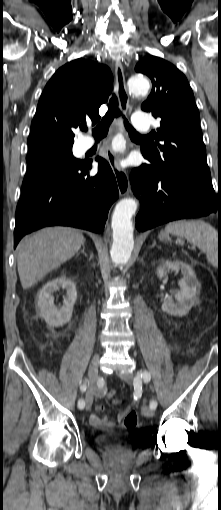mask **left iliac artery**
Wrapping results in <instances>:
<instances>
[{
  "instance_id": "1",
  "label": "left iliac artery",
  "mask_w": 221,
  "mask_h": 510,
  "mask_svg": "<svg viewBox=\"0 0 221 510\" xmlns=\"http://www.w3.org/2000/svg\"><path fill=\"white\" fill-rule=\"evenodd\" d=\"M141 380H143L144 382H149L151 380L150 373L148 371H146V370L138 372L134 382H135L136 385H139L141 383ZM156 407H157V401L156 400H152L150 402V408L152 410H155Z\"/></svg>"
}]
</instances>
